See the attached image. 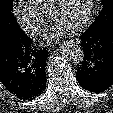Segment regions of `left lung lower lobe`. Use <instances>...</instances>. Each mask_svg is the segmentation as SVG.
I'll return each instance as SVG.
<instances>
[{"mask_svg":"<svg viewBox=\"0 0 113 113\" xmlns=\"http://www.w3.org/2000/svg\"><path fill=\"white\" fill-rule=\"evenodd\" d=\"M80 39L84 58L76 73L78 83L90 92H102L113 85V23L87 29Z\"/></svg>","mask_w":113,"mask_h":113,"instance_id":"1","label":"left lung lower lobe"}]
</instances>
